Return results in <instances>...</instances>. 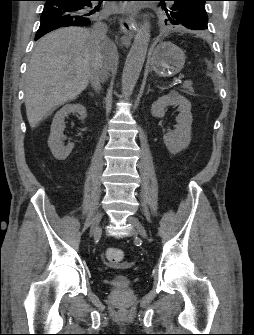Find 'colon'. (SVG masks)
Returning a JSON list of instances; mask_svg holds the SVG:
<instances>
[{"label": "colon", "mask_w": 254, "mask_h": 335, "mask_svg": "<svg viewBox=\"0 0 254 335\" xmlns=\"http://www.w3.org/2000/svg\"><path fill=\"white\" fill-rule=\"evenodd\" d=\"M124 258V253L119 248H108L105 252V259L110 264H119Z\"/></svg>", "instance_id": "1"}]
</instances>
